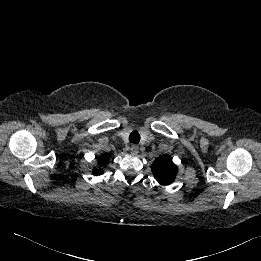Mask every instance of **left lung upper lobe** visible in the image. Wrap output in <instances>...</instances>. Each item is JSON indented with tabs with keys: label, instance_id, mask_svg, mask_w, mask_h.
Instances as JSON below:
<instances>
[{
	"label": "left lung upper lobe",
	"instance_id": "1",
	"mask_svg": "<svg viewBox=\"0 0 261 261\" xmlns=\"http://www.w3.org/2000/svg\"><path fill=\"white\" fill-rule=\"evenodd\" d=\"M151 168L156 180L161 185L171 184L178 172L177 166L165 155L155 159Z\"/></svg>",
	"mask_w": 261,
	"mask_h": 261
}]
</instances>
